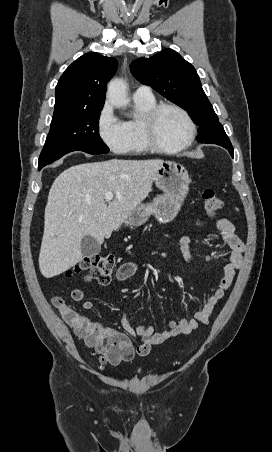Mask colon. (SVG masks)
Here are the masks:
<instances>
[{"mask_svg": "<svg viewBox=\"0 0 272 452\" xmlns=\"http://www.w3.org/2000/svg\"><path fill=\"white\" fill-rule=\"evenodd\" d=\"M203 206L207 215L215 216L223 208L222 199L214 190H205L202 194ZM77 270H89L88 279L100 285H107L115 268V260L111 255H92L86 257L77 267ZM53 306L61 313H69L71 308L59 296L51 298ZM98 350L102 354V362L106 364H120L129 360L130 351L112 336H103L98 341ZM146 351V348H140Z\"/></svg>", "mask_w": 272, "mask_h": 452, "instance_id": "colon-1", "label": "colon"}]
</instances>
